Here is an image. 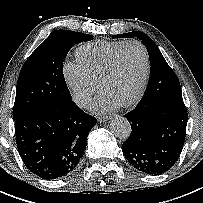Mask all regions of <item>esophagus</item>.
<instances>
[{
    "label": "esophagus",
    "instance_id": "obj_1",
    "mask_svg": "<svg viewBox=\"0 0 203 203\" xmlns=\"http://www.w3.org/2000/svg\"><path fill=\"white\" fill-rule=\"evenodd\" d=\"M110 119V117L109 116H103V117H98V122H100V123H103V122H106V121H108Z\"/></svg>",
    "mask_w": 203,
    "mask_h": 203
}]
</instances>
